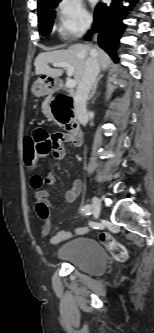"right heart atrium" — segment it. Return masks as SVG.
I'll list each match as a JSON object with an SVG mask.
<instances>
[{"mask_svg":"<svg viewBox=\"0 0 154 333\" xmlns=\"http://www.w3.org/2000/svg\"><path fill=\"white\" fill-rule=\"evenodd\" d=\"M56 17L58 33L64 39L79 37L92 25V16L83 0H59Z\"/></svg>","mask_w":154,"mask_h":333,"instance_id":"right-heart-atrium-1","label":"right heart atrium"}]
</instances>
